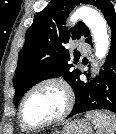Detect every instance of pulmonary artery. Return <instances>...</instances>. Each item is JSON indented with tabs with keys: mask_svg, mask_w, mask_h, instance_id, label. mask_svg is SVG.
Returning <instances> with one entry per match:
<instances>
[{
	"mask_svg": "<svg viewBox=\"0 0 116 134\" xmlns=\"http://www.w3.org/2000/svg\"><path fill=\"white\" fill-rule=\"evenodd\" d=\"M78 50L79 52H82V53H88L89 46L86 43L81 42L78 44Z\"/></svg>",
	"mask_w": 116,
	"mask_h": 134,
	"instance_id": "obj_1",
	"label": "pulmonary artery"
}]
</instances>
